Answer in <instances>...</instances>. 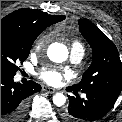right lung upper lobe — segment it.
<instances>
[{"label":"right lung upper lobe","instance_id":"right-lung-upper-lobe-1","mask_svg":"<svg viewBox=\"0 0 122 122\" xmlns=\"http://www.w3.org/2000/svg\"><path fill=\"white\" fill-rule=\"evenodd\" d=\"M64 19L63 15L55 16L40 10L19 9L1 19V30H15L27 36H38L48 26Z\"/></svg>","mask_w":122,"mask_h":122}]
</instances>
